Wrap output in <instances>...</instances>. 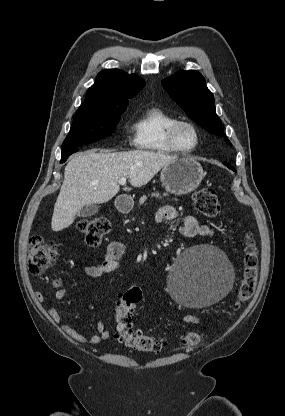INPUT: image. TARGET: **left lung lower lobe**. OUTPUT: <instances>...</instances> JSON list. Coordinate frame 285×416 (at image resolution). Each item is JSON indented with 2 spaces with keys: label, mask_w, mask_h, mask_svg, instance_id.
<instances>
[{
  "label": "left lung lower lobe",
  "mask_w": 285,
  "mask_h": 416,
  "mask_svg": "<svg viewBox=\"0 0 285 416\" xmlns=\"http://www.w3.org/2000/svg\"><path fill=\"white\" fill-rule=\"evenodd\" d=\"M225 166H227L229 169L233 170L236 172V169L234 167H232L230 164L228 163H223Z\"/></svg>",
  "instance_id": "obj_1"
}]
</instances>
